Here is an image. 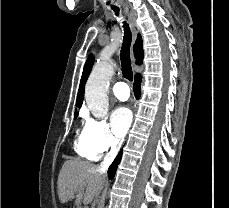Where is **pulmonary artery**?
Returning <instances> with one entry per match:
<instances>
[{
  "mask_svg": "<svg viewBox=\"0 0 229 208\" xmlns=\"http://www.w3.org/2000/svg\"><path fill=\"white\" fill-rule=\"evenodd\" d=\"M112 92L119 100H126L130 96V89L124 82H116L112 87Z\"/></svg>",
  "mask_w": 229,
  "mask_h": 208,
  "instance_id": "e3ab8cb5",
  "label": "pulmonary artery"
}]
</instances>
